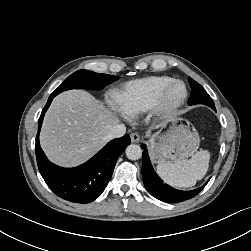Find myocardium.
Returning <instances> with one entry per match:
<instances>
[{
	"label": "myocardium",
	"mask_w": 251,
	"mask_h": 251,
	"mask_svg": "<svg viewBox=\"0 0 251 251\" xmlns=\"http://www.w3.org/2000/svg\"><path fill=\"white\" fill-rule=\"evenodd\" d=\"M180 85L183 88L182 96L176 101H169L168 94L171 89ZM188 97V88L182 80H172L165 85L159 92L151 111L155 117L167 118L173 115L183 104L186 102Z\"/></svg>",
	"instance_id": "obj_1"
}]
</instances>
